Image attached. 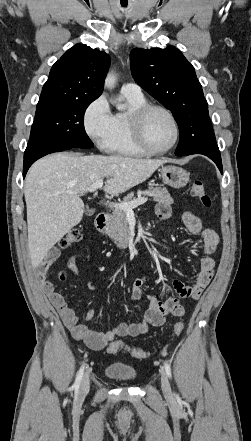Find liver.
<instances>
[{
	"mask_svg": "<svg viewBox=\"0 0 251 441\" xmlns=\"http://www.w3.org/2000/svg\"><path fill=\"white\" fill-rule=\"evenodd\" d=\"M168 159H138L55 153L36 161L25 179L28 248L33 267L74 226L80 223L84 203L80 196L98 180L104 191L120 194L148 179Z\"/></svg>",
	"mask_w": 251,
	"mask_h": 441,
	"instance_id": "obj_1",
	"label": "liver"
}]
</instances>
